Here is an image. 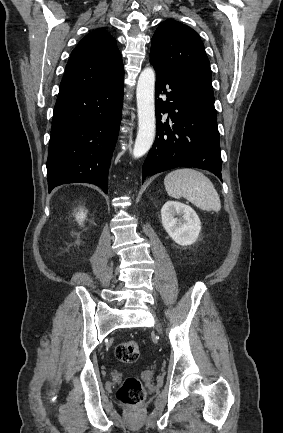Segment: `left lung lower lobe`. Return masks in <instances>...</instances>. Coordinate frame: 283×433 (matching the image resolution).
<instances>
[{
	"label": "left lung lower lobe",
	"mask_w": 283,
	"mask_h": 433,
	"mask_svg": "<svg viewBox=\"0 0 283 433\" xmlns=\"http://www.w3.org/2000/svg\"><path fill=\"white\" fill-rule=\"evenodd\" d=\"M156 70L157 135L142 168V182L150 175L176 167H196L213 172L221 181V152L216 115L195 104L193 79L150 58ZM166 95V100L159 98ZM168 114V117L164 115Z\"/></svg>",
	"instance_id": "0a47b994"
}]
</instances>
